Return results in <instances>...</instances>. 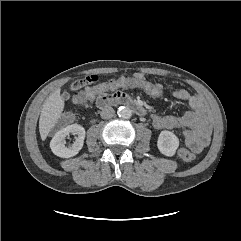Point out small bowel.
<instances>
[{"mask_svg":"<svg viewBox=\"0 0 241 241\" xmlns=\"http://www.w3.org/2000/svg\"><path fill=\"white\" fill-rule=\"evenodd\" d=\"M135 76L161 86L144 74L138 73ZM173 97L186 102L190 109L179 116L152 114L153 126L157 129L179 128L186 146L195 153L201 152L209 144L211 135V120L203 99L185 89L175 90ZM84 106H88L87 101L84 102Z\"/></svg>","mask_w":241,"mask_h":241,"instance_id":"small-bowel-1","label":"small bowel"}]
</instances>
